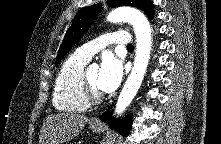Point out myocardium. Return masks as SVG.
<instances>
[{
    "label": "myocardium",
    "mask_w": 221,
    "mask_h": 144,
    "mask_svg": "<svg viewBox=\"0 0 221 144\" xmlns=\"http://www.w3.org/2000/svg\"><path fill=\"white\" fill-rule=\"evenodd\" d=\"M81 87L84 98L87 102L97 103L101 100L102 94L99 90L94 88L88 80L87 71L83 70L81 75Z\"/></svg>",
    "instance_id": "obj_1"
}]
</instances>
